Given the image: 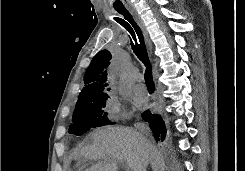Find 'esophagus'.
<instances>
[{
  "label": "esophagus",
  "instance_id": "obj_1",
  "mask_svg": "<svg viewBox=\"0 0 245 171\" xmlns=\"http://www.w3.org/2000/svg\"><path fill=\"white\" fill-rule=\"evenodd\" d=\"M126 8L130 11V13L133 15L135 21L137 22V24L139 25L143 35H144V38H145V41L149 47V50L151 51L152 49V44H151V41L148 37V33H147V29L142 21V19L140 18V16L138 15V13L136 12L135 8L131 5V4H125Z\"/></svg>",
  "mask_w": 245,
  "mask_h": 171
}]
</instances>
